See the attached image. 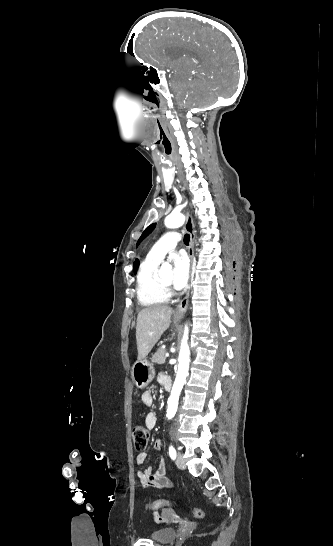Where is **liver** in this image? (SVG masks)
I'll list each match as a JSON object with an SVG mask.
<instances>
[{"mask_svg": "<svg viewBox=\"0 0 333 546\" xmlns=\"http://www.w3.org/2000/svg\"><path fill=\"white\" fill-rule=\"evenodd\" d=\"M172 309L153 306L142 309L137 316L136 341L138 359H145L161 335L169 328Z\"/></svg>", "mask_w": 333, "mask_h": 546, "instance_id": "6515ba94", "label": "liver"}]
</instances>
